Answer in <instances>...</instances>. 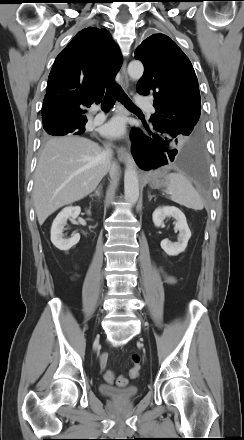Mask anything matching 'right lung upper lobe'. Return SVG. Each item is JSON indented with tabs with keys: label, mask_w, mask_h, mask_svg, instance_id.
Segmentation results:
<instances>
[{
	"label": "right lung upper lobe",
	"mask_w": 244,
	"mask_h": 440,
	"mask_svg": "<svg viewBox=\"0 0 244 440\" xmlns=\"http://www.w3.org/2000/svg\"><path fill=\"white\" fill-rule=\"evenodd\" d=\"M122 65V56L104 28L81 30L57 56L43 101V126L86 124L83 106L99 103Z\"/></svg>",
	"instance_id": "1"
}]
</instances>
